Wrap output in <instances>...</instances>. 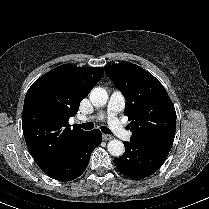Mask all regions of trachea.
Instances as JSON below:
<instances>
[{"label":"trachea","instance_id":"trachea-1","mask_svg":"<svg viewBox=\"0 0 209 209\" xmlns=\"http://www.w3.org/2000/svg\"><path fill=\"white\" fill-rule=\"evenodd\" d=\"M80 127L85 129V130H91V129L94 128V124L92 122L82 123V124H80ZM101 131L105 134H110L111 133L110 129L106 126H102Z\"/></svg>","mask_w":209,"mask_h":209}]
</instances>
